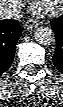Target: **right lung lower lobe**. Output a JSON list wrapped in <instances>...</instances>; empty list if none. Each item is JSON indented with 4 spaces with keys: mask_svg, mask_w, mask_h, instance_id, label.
I'll return each instance as SVG.
<instances>
[{
    "mask_svg": "<svg viewBox=\"0 0 63 107\" xmlns=\"http://www.w3.org/2000/svg\"><path fill=\"white\" fill-rule=\"evenodd\" d=\"M21 27L16 20H0V76L11 66Z\"/></svg>",
    "mask_w": 63,
    "mask_h": 107,
    "instance_id": "98d812e1",
    "label": "right lung lower lobe"
}]
</instances>
